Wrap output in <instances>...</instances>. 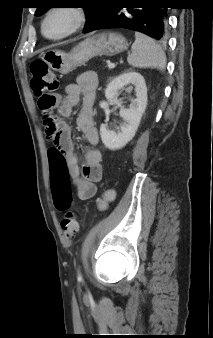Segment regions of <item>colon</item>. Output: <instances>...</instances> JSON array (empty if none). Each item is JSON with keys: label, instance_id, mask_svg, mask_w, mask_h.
I'll return each instance as SVG.
<instances>
[{"label": "colon", "instance_id": "1", "mask_svg": "<svg viewBox=\"0 0 213 338\" xmlns=\"http://www.w3.org/2000/svg\"><path fill=\"white\" fill-rule=\"evenodd\" d=\"M30 69L32 72V90L38 98V108L43 117L44 124L49 128L53 135V142L57 145L61 139V134L57 129L56 121L52 115V111L56 105L55 93L59 89V81L57 76L49 69L45 61L34 60ZM72 192L67 185L65 177L57 176L53 183V201L58 210H68L72 203ZM114 198L113 191H106L98 200V208L105 210L109 202ZM61 228L67 238L74 237L79 229V223L73 212H67L61 220Z\"/></svg>", "mask_w": 213, "mask_h": 338}]
</instances>
